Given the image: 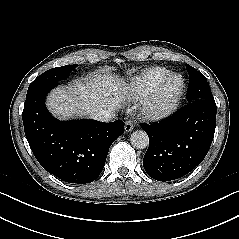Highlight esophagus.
Returning a JSON list of instances; mask_svg holds the SVG:
<instances>
[{"label": "esophagus", "mask_w": 239, "mask_h": 239, "mask_svg": "<svg viewBox=\"0 0 239 239\" xmlns=\"http://www.w3.org/2000/svg\"><path fill=\"white\" fill-rule=\"evenodd\" d=\"M133 128H134V124H133L132 121L128 120V121L125 122V131L126 132L132 131Z\"/></svg>", "instance_id": "34e87169"}]
</instances>
